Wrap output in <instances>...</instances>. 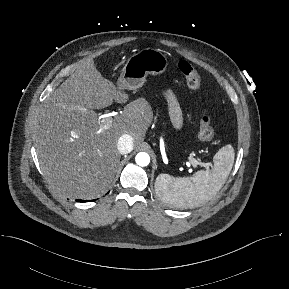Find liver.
I'll return each instance as SVG.
<instances>
[{
	"label": "liver",
	"mask_w": 289,
	"mask_h": 289,
	"mask_svg": "<svg viewBox=\"0 0 289 289\" xmlns=\"http://www.w3.org/2000/svg\"><path fill=\"white\" fill-rule=\"evenodd\" d=\"M128 100L129 95L104 78L90 58L48 96L34 136L42 173L55 192L93 199L108 189L120 162L118 139L129 134L135 144L142 142L153 114L140 98L104 128L95 110Z\"/></svg>",
	"instance_id": "liver-1"
}]
</instances>
